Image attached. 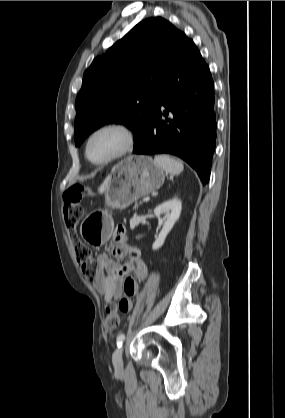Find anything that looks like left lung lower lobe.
<instances>
[{"mask_svg":"<svg viewBox=\"0 0 285 418\" xmlns=\"http://www.w3.org/2000/svg\"><path fill=\"white\" fill-rule=\"evenodd\" d=\"M164 107L165 110H161ZM172 117L163 119V116ZM214 83L194 42L181 49L160 89L149 126L134 154H172L185 160L206 184L216 146Z\"/></svg>","mask_w":285,"mask_h":418,"instance_id":"left-lung-lower-lobe-1","label":"left lung lower lobe"}]
</instances>
